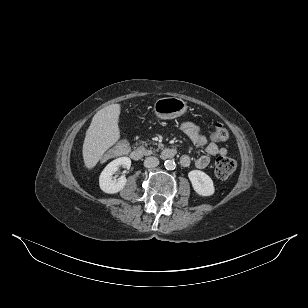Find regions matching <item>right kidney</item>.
Returning a JSON list of instances; mask_svg holds the SVG:
<instances>
[{
	"label": "right kidney",
	"instance_id": "1",
	"mask_svg": "<svg viewBox=\"0 0 308 308\" xmlns=\"http://www.w3.org/2000/svg\"><path fill=\"white\" fill-rule=\"evenodd\" d=\"M119 166H124L127 169L131 166V160L128 157H120L110 162L102 171L99 178V185L103 192L114 194L121 191L127 183L124 176L118 179L113 177V174L118 170Z\"/></svg>",
	"mask_w": 308,
	"mask_h": 308
}]
</instances>
